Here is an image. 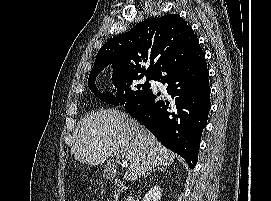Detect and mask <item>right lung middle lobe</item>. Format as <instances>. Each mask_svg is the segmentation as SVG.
Masks as SVG:
<instances>
[{
	"label": "right lung middle lobe",
	"mask_w": 271,
	"mask_h": 201,
	"mask_svg": "<svg viewBox=\"0 0 271 201\" xmlns=\"http://www.w3.org/2000/svg\"><path fill=\"white\" fill-rule=\"evenodd\" d=\"M96 77L97 74L90 76L88 79V86L95 96L109 104L124 105L126 102L151 90V85L148 82L153 80L154 75H146L145 83H141V79L144 77L143 74H112L113 84L117 88L115 95L109 92L101 93L95 85Z\"/></svg>",
	"instance_id": "obj_1"
}]
</instances>
